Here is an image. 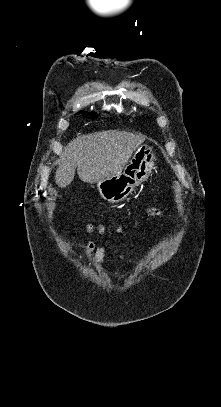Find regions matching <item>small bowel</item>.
I'll list each match as a JSON object with an SVG mask.
<instances>
[{
    "instance_id": "1",
    "label": "small bowel",
    "mask_w": 221,
    "mask_h": 407,
    "mask_svg": "<svg viewBox=\"0 0 221 407\" xmlns=\"http://www.w3.org/2000/svg\"><path fill=\"white\" fill-rule=\"evenodd\" d=\"M108 244V241H105L102 245L96 246L92 241L88 242L86 246V254L87 255H93L99 262L103 261L104 258V252H105V247ZM124 246V243L121 244L115 251V254L117 256H120V249Z\"/></svg>"
}]
</instances>
